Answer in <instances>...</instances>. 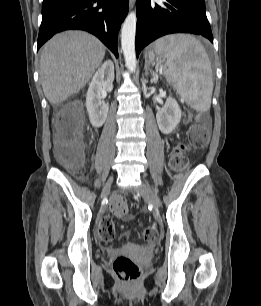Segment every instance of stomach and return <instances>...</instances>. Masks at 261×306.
<instances>
[{"instance_id": "0dacf381", "label": "stomach", "mask_w": 261, "mask_h": 306, "mask_svg": "<svg viewBox=\"0 0 261 306\" xmlns=\"http://www.w3.org/2000/svg\"><path fill=\"white\" fill-rule=\"evenodd\" d=\"M161 59V56L156 53L155 49H150L146 54V62L157 63Z\"/></svg>"}]
</instances>
